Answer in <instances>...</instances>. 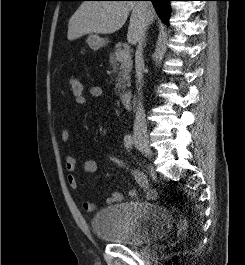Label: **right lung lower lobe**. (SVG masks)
<instances>
[{
  "instance_id": "98d812e1",
  "label": "right lung lower lobe",
  "mask_w": 245,
  "mask_h": 265,
  "mask_svg": "<svg viewBox=\"0 0 245 265\" xmlns=\"http://www.w3.org/2000/svg\"><path fill=\"white\" fill-rule=\"evenodd\" d=\"M127 1H139V0H127ZM152 1L156 12L159 14L161 20L168 24V14H169V1L172 0H148Z\"/></svg>"
}]
</instances>
